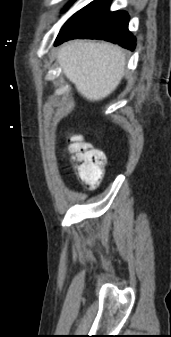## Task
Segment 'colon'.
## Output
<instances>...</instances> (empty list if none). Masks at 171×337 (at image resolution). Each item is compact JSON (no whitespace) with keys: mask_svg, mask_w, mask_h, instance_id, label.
<instances>
[{"mask_svg":"<svg viewBox=\"0 0 171 337\" xmlns=\"http://www.w3.org/2000/svg\"><path fill=\"white\" fill-rule=\"evenodd\" d=\"M74 173L90 188H96L105 173L106 155L87 142L82 135L70 137L67 144Z\"/></svg>","mask_w":171,"mask_h":337,"instance_id":"5ec220e1","label":"colon"}]
</instances>
